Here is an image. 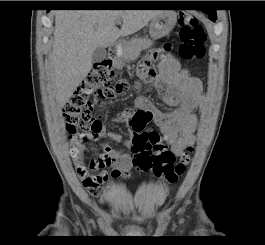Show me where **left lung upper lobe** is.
Masks as SVG:
<instances>
[{"instance_id":"1","label":"left lung upper lobe","mask_w":265,"mask_h":245,"mask_svg":"<svg viewBox=\"0 0 265 245\" xmlns=\"http://www.w3.org/2000/svg\"><path fill=\"white\" fill-rule=\"evenodd\" d=\"M213 19H214V21L216 20V15H215V17H213Z\"/></svg>"}]
</instances>
